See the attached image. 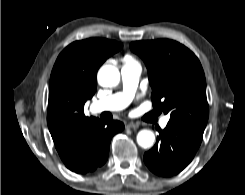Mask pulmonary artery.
<instances>
[{"instance_id": "1", "label": "pulmonary artery", "mask_w": 245, "mask_h": 195, "mask_svg": "<svg viewBox=\"0 0 245 195\" xmlns=\"http://www.w3.org/2000/svg\"><path fill=\"white\" fill-rule=\"evenodd\" d=\"M141 71L142 68L138 62L125 60L121 68L122 90L95 101L91 105V110L94 113H100L104 111H119L126 108L134 97ZM168 122L169 116H164L160 122L161 127H166Z\"/></svg>"}]
</instances>
